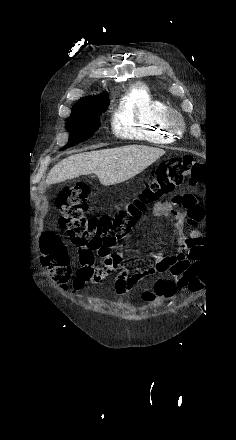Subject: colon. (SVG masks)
<instances>
[{
  "label": "colon",
  "mask_w": 236,
  "mask_h": 440,
  "mask_svg": "<svg viewBox=\"0 0 236 440\" xmlns=\"http://www.w3.org/2000/svg\"><path fill=\"white\" fill-rule=\"evenodd\" d=\"M203 177L200 163L192 156L173 157L162 163L147 186L138 195L125 201L115 214L100 217L87 214L90 186L77 184L63 190L56 199V206L61 212L59 224L75 245L94 250L109 249L131 232L149 204L179 186H195ZM42 248V263L49 274L55 280L67 278L70 270L60 251L61 238L54 232H46L42 236ZM201 287L199 282L194 281L189 289L195 292ZM174 290L175 285L170 280H160L156 284L159 295L168 297ZM145 296L149 297L150 293L147 292Z\"/></svg>",
  "instance_id": "1"
}]
</instances>
